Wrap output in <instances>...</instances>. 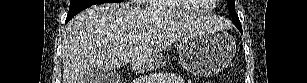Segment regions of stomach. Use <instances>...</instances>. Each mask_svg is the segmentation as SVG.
Listing matches in <instances>:
<instances>
[{"mask_svg":"<svg viewBox=\"0 0 307 83\" xmlns=\"http://www.w3.org/2000/svg\"><path fill=\"white\" fill-rule=\"evenodd\" d=\"M236 44L226 32L197 34L180 41L179 57L182 66L197 76H212L227 66L235 55ZM162 56L148 59L135 66V71L157 69L164 65Z\"/></svg>","mask_w":307,"mask_h":83,"instance_id":"obj_1","label":"stomach"}]
</instances>
